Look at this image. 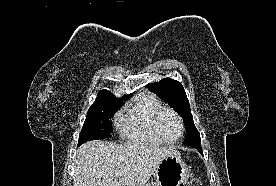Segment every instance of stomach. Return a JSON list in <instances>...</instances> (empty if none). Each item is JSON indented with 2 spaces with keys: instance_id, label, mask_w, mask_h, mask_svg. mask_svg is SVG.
I'll return each instance as SVG.
<instances>
[{
  "instance_id": "stomach-1",
  "label": "stomach",
  "mask_w": 276,
  "mask_h": 186,
  "mask_svg": "<svg viewBox=\"0 0 276 186\" xmlns=\"http://www.w3.org/2000/svg\"><path fill=\"white\" fill-rule=\"evenodd\" d=\"M156 186H182L190 176V170L180 153L171 154L156 169Z\"/></svg>"
}]
</instances>
